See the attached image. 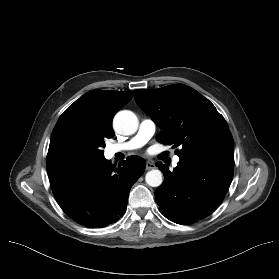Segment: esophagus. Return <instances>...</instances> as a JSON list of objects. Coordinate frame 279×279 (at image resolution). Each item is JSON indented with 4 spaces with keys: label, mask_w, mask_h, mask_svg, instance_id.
<instances>
[{
    "label": "esophagus",
    "mask_w": 279,
    "mask_h": 279,
    "mask_svg": "<svg viewBox=\"0 0 279 279\" xmlns=\"http://www.w3.org/2000/svg\"><path fill=\"white\" fill-rule=\"evenodd\" d=\"M155 168V164L153 162L147 161L146 162V170H152Z\"/></svg>",
    "instance_id": "1"
}]
</instances>
